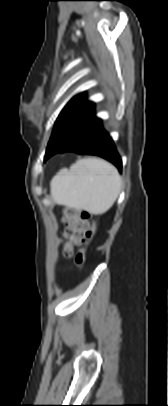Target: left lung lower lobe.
<instances>
[{
  "instance_id": "obj_1",
  "label": "left lung lower lobe",
  "mask_w": 168,
  "mask_h": 406,
  "mask_svg": "<svg viewBox=\"0 0 168 406\" xmlns=\"http://www.w3.org/2000/svg\"><path fill=\"white\" fill-rule=\"evenodd\" d=\"M66 151L97 155L113 163L119 171L122 169V161L114 143L102 128L101 120L95 117L94 111L83 129L73 139L57 147L50 155H46L44 160L52 154Z\"/></svg>"
}]
</instances>
